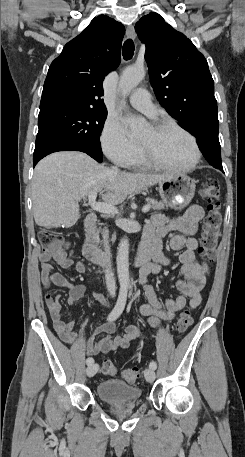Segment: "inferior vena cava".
Masks as SVG:
<instances>
[{"mask_svg": "<svg viewBox=\"0 0 245 457\" xmlns=\"http://www.w3.org/2000/svg\"><path fill=\"white\" fill-rule=\"evenodd\" d=\"M111 172H119V168H117V166H112ZM102 237H103V241H104L105 253L107 255V269L105 271V281H106V285H107V289H108L109 293H111V295H114V293L116 291V283H115L114 275L111 271V261H110L111 253L109 251L110 247L108 245L109 231H108V229H106V226L102 233Z\"/></svg>", "mask_w": 245, "mask_h": 457, "instance_id": "602c4592", "label": "inferior vena cava"}]
</instances>
